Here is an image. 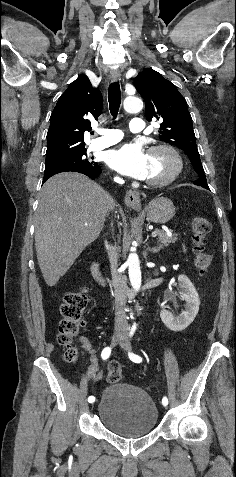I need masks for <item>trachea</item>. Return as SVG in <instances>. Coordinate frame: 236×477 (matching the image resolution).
<instances>
[{"label":"trachea","instance_id":"1","mask_svg":"<svg viewBox=\"0 0 236 477\" xmlns=\"http://www.w3.org/2000/svg\"><path fill=\"white\" fill-rule=\"evenodd\" d=\"M108 102L110 113L115 119L118 115V111L121 104V91L118 82H114L109 86L108 90Z\"/></svg>","mask_w":236,"mask_h":477}]
</instances>
